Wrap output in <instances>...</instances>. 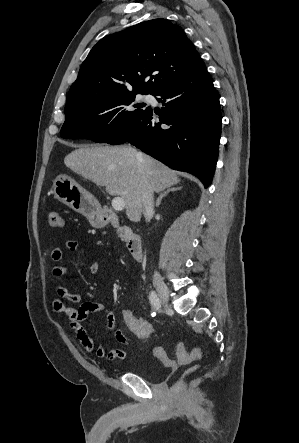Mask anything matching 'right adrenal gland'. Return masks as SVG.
<instances>
[{
	"instance_id": "2a0ac1e0",
	"label": "right adrenal gland",
	"mask_w": 299,
	"mask_h": 443,
	"mask_svg": "<svg viewBox=\"0 0 299 443\" xmlns=\"http://www.w3.org/2000/svg\"><path fill=\"white\" fill-rule=\"evenodd\" d=\"M181 189H182V187L171 188V189H168L165 192L161 193L159 195V197L157 198V200H156L155 207L158 208L160 206L161 201L163 200V198H165L170 192H174V191L181 190Z\"/></svg>"
}]
</instances>
